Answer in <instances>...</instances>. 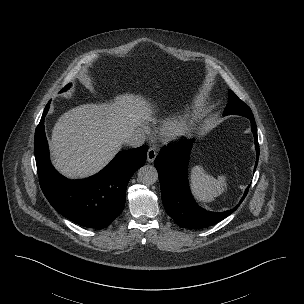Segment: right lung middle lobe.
<instances>
[{"instance_id":"dd1d6c3e","label":"right lung middle lobe","mask_w":304,"mask_h":304,"mask_svg":"<svg viewBox=\"0 0 304 304\" xmlns=\"http://www.w3.org/2000/svg\"><path fill=\"white\" fill-rule=\"evenodd\" d=\"M67 88H69V86H68V87H66L65 89H63V91H64V90H66Z\"/></svg>"}]
</instances>
